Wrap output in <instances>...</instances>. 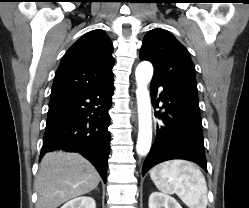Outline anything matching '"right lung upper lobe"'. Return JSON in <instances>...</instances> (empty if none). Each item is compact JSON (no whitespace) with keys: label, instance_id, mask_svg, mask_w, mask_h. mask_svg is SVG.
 Instances as JSON below:
<instances>
[{"label":"right lung upper lobe","instance_id":"1","mask_svg":"<svg viewBox=\"0 0 249 208\" xmlns=\"http://www.w3.org/2000/svg\"><path fill=\"white\" fill-rule=\"evenodd\" d=\"M112 48L103 30L90 31L78 39L61 60L50 99L90 90L113 79Z\"/></svg>","mask_w":249,"mask_h":208}]
</instances>
